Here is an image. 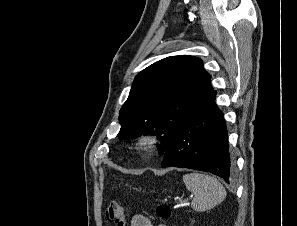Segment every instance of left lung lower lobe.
Masks as SVG:
<instances>
[{
  "instance_id": "obj_1",
  "label": "left lung lower lobe",
  "mask_w": 297,
  "mask_h": 226,
  "mask_svg": "<svg viewBox=\"0 0 297 226\" xmlns=\"http://www.w3.org/2000/svg\"><path fill=\"white\" fill-rule=\"evenodd\" d=\"M215 96L214 90L204 96L181 123L162 167L196 169L215 174L227 183L232 180L227 127Z\"/></svg>"
}]
</instances>
